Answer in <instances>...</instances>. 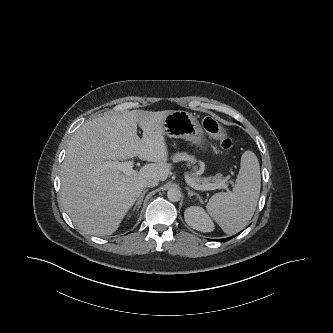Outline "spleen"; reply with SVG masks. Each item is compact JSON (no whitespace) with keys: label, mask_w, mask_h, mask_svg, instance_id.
Segmentation results:
<instances>
[{"label":"spleen","mask_w":333,"mask_h":333,"mask_svg":"<svg viewBox=\"0 0 333 333\" xmlns=\"http://www.w3.org/2000/svg\"><path fill=\"white\" fill-rule=\"evenodd\" d=\"M261 188L260 167L256 155L247 150L232 191L214 194L206 205L211 217L226 234L242 230L252 218Z\"/></svg>","instance_id":"3e777b00"}]
</instances>
